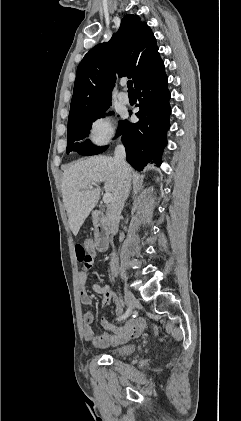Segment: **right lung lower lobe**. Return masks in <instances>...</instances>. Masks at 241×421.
I'll return each instance as SVG.
<instances>
[{
	"label": "right lung lower lobe",
	"instance_id": "right-lung-lower-lobe-1",
	"mask_svg": "<svg viewBox=\"0 0 241 421\" xmlns=\"http://www.w3.org/2000/svg\"><path fill=\"white\" fill-rule=\"evenodd\" d=\"M164 63L159 58L135 84L138 95L139 121L125 120L122 141L126 159L132 167L141 171L149 162L160 164V156L166 145V132L170 127V92Z\"/></svg>",
	"mask_w": 241,
	"mask_h": 421
}]
</instances>
